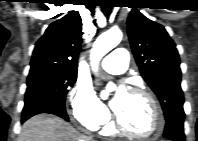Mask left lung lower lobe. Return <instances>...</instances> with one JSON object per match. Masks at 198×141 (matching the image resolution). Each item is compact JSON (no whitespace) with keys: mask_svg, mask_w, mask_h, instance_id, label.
<instances>
[{"mask_svg":"<svg viewBox=\"0 0 198 141\" xmlns=\"http://www.w3.org/2000/svg\"><path fill=\"white\" fill-rule=\"evenodd\" d=\"M184 115L174 114L166 122L164 137L173 141H184L185 135L183 130Z\"/></svg>","mask_w":198,"mask_h":141,"instance_id":"0a47b994","label":"left lung lower lobe"}]
</instances>
